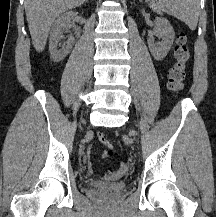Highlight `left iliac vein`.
I'll return each instance as SVG.
<instances>
[{
	"mask_svg": "<svg viewBox=\"0 0 216 217\" xmlns=\"http://www.w3.org/2000/svg\"><path fill=\"white\" fill-rule=\"evenodd\" d=\"M131 134H132L133 136H135V132H134L133 130L131 131Z\"/></svg>",
	"mask_w": 216,
	"mask_h": 217,
	"instance_id": "4c4485c4",
	"label": "left iliac vein"
}]
</instances>
